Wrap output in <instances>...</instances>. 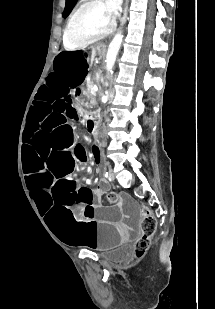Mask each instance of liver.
<instances>
[{
  "mask_svg": "<svg viewBox=\"0 0 215 309\" xmlns=\"http://www.w3.org/2000/svg\"><path fill=\"white\" fill-rule=\"evenodd\" d=\"M91 48H92V50H91L90 62H92V60H94L95 54H96V48H95V46H91Z\"/></svg>",
  "mask_w": 215,
  "mask_h": 309,
  "instance_id": "6515ba94",
  "label": "liver"
}]
</instances>
